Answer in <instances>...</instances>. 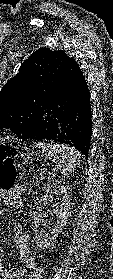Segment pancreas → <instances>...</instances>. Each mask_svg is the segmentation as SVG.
<instances>
[{"instance_id":"pancreas-1","label":"pancreas","mask_w":113,"mask_h":279,"mask_svg":"<svg viewBox=\"0 0 113 279\" xmlns=\"http://www.w3.org/2000/svg\"><path fill=\"white\" fill-rule=\"evenodd\" d=\"M43 178L42 177H36V180H42Z\"/></svg>"}]
</instances>
